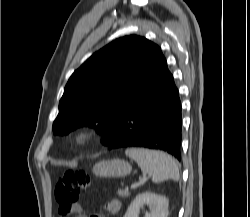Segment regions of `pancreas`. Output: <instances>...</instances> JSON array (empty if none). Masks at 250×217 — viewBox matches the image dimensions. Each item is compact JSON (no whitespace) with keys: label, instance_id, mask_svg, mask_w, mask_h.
<instances>
[{"label":"pancreas","instance_id":"pancreas-1","mask_svg":"<svg viewBox=\"0 0 250 217\" xmlns=\"http://www.w3.org/2000/svg\"><path fill=\"white\" fill-rule=\"evenodd\" d=\"M117 194L119 196H122V197H129L130 196V192L128 191V189H125V190L119 189L117 191Z\"/></svg>","mask_w":250,"mask_h":217}]
</instances>
